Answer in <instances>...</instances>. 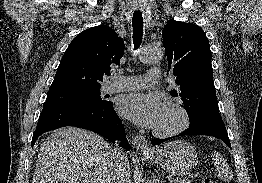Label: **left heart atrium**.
Segmentation results:
<instances>
[{
    "mask_svg": "<svg viewBox=\"0 0 262 183\" xmlns=\"http://www.w3.org/2000/svg\"><path fill=\"white\" fill-rule=\"evenodd\" d=\"M163 104L155 94L131 93L120 98L119 113L136 125L155 129L158 124Z\"/></svg>",
    "mask_w": 262,
    "mask_h": 183,
    "instance_id": "39dd6f15",
    "label": "left heart atrium"
}]
</instances>
